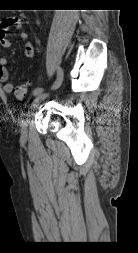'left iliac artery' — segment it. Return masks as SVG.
Wrapping results in <instances>:
<instances>
[{
	"label": "left iliac artery",
	"mask_w": 138,
	"mask_h": 253,
	"mask_svg": "<svg viewBox=\"0 0 138 253\" xmlns=\"http://www.w3.org/2000/svg\"><path fill=\"white\" fill-rule=\"evenodd\" d=\"M63 76H64L63 70H62L61 68H58V69H57V77H56V80H55V82H54L53 85H52V88H53V89H56V88H58V87L61 85V83H62V81H63ZM43 91H44V89H43L42 87L36 88V89H34V91H33V95H34V96H38V95L41 94Z\"/></svg>",
	"instance_id": "left-iliac-artery-1"
}]
</instances>
